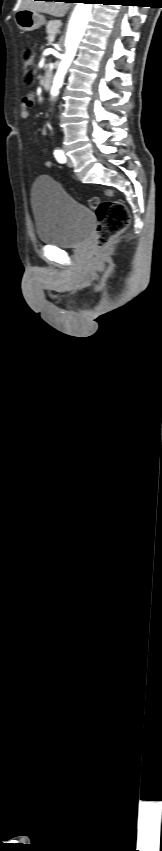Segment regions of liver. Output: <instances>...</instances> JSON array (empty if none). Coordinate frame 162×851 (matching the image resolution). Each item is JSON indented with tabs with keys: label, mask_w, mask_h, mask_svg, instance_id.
I'll use <instances>...</instances> for the list:
<instances>
[{
	"label": "liver",
	"mask_w": 162,
	"mask_h": 851,
	"mask_svg": "<svg viewBox=\"0 0 162 851\" xmlns=\"http://www.w3.org/2000/svg\"><path fill=\"white\" fill-rule=\"evenodd\" d=\"M20 9H30L35 12L47 13L55 17H63L67 13L70 4L55 1L19 0L17 4Z\"/></svg>",
	"instance_id": "liver-1"
}]
</instances>
